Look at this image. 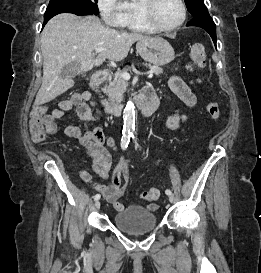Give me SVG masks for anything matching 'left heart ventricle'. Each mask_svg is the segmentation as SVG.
<instances>
[{
    "label": "left heart ventricle",
    "mask_w": 261,
    "mask_h": 273,
    "mask_svg": "<svg viewBox=\"0 0 261 273\" xmlns=\"http://www.w3.org/2000/svg\"><path fill=\"white\" fill-rule=\"evenodd\" d=\"M182 11L177 0H158L155 20L161 27H171L179 22Z\"/></svg>",
    "instance_id": "obj_1"
}]
</instances>
